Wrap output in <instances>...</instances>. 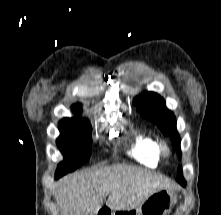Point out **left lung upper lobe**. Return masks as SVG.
Wrapping results in <instances>:
<instances>
[{
    "instance_id": "5c2ea615",
    "label": "left lung upper lobe",
    "mask_w": 221,
    "mask_h": 215,
    "mask_svg": "<svg viewBox=\"0 0 221 215\" xmlns=\"http://www.w3.org/2000/svg\"><path fill=\"white\" fill-rule=\"evenodd\" d=\"M137 110L149 121L154 122L165 136L171 137L173 146L181 157L180 138L176 130V118L165 106L164 99L154 92H144L133 101ZM184 180L181 166L178 167L177 181Z\"/></svg>"
}]
</instances>
